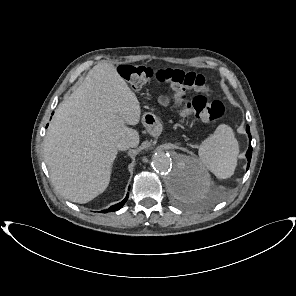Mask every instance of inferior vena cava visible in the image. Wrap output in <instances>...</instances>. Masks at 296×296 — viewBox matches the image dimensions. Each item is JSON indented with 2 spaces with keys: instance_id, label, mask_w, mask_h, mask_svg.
Instances as JSON below:
<instances>
[{
  "instance_id": "obj_1",
  "label": "inferior vena cava",
  "mask_w": 296,
  "mask_h": 296,
  "mask_svg": "<svg viewBox=\"0 0 296 296\" xmlns=\"http://www.w3.org/2000/svg\"><path fill=\"white\" fill-rule=\"evenodd\" d=\"M116 147L118 150L124 151L131 147H134V144L129 139H121L116 143Z\"/></svg>"
}]
</instances>
